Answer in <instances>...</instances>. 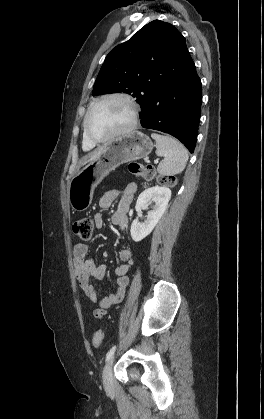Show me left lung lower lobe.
<instances>
[{
	"label": "left lung lower lobe",
	"mask_w": 264,
	"mask_h": 419,
	"mask_svg": "<svg viewBox=\"0 0 264 419\" xmlns=\"http://www.w3.org/2000/svg\"><path fill=\"white\" fill-rule=\"evenodd\" d=\"M201 99V81L183 37L178 45L173 70L152 85L140 113L141 125L176 137L193 153Z\"/></svg>",
	"instance_id": "1"
}]
</instances>
